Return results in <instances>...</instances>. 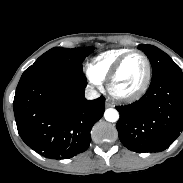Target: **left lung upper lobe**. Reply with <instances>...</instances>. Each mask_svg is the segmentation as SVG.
I'll return each mask as SVG.
<instances>
[{
    "label": "left lung upper lobe",
    "instance_id": "5c2ea615",
    "mask_svg": "<svg viewBox=\"0 0 183 183\" xmlns=\"http://www.w3.org/2000/svg\"><path fill=\"white\" fill-rule=\"evenodd\" d=\"M139 49H141L150 60L152 78L180 68L168 54L153 45L141 44L139 45Z\"/></svg>",
    "mask_w": 183,
    "mask_h": 183
}]
</instances>
